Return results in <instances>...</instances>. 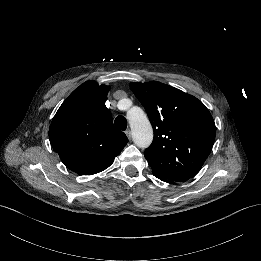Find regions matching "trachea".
Masks as SVG:
<instances>
[{"mask_svg": "<svg viewBox=\"0 0 261 261\" xmlns=\"http://www.w3.org/2000/svg\"><path fill=\"white\" fill-rule=\"evenodd\" d=\"M115 126L120 130H126L127 128V120L124 116H118L115 119Z\"/></svg>", "mask_w": 261, "mask_h": 261, "instance_id": "trachea-1", "label": "trachea"}]
</instances>
